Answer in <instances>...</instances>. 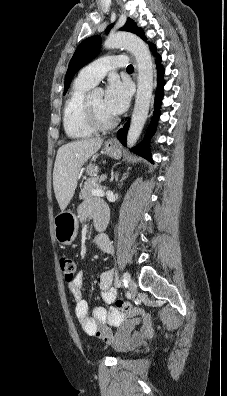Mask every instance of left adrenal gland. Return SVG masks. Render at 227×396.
Instances as JSON below:
<instances>
[{
  "instance_id": "left-adrenal-gland-1",
  "label": "left adrenal gland",
  "mask_w": 227,
  "mask_h": 396,
  "mask_svg": "<svg viewBox=\"0 0 227 396\" xmlns=\"http://www.w3.org/2000/svg\"><path fill=\"white\" fill-rule=\"evenodd\" d=\"M118 180V176H116V181Z\"/></svg>"
}]
</instances>
